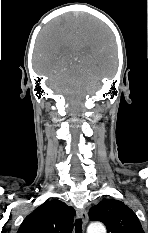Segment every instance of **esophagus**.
Masks as SVG:
<instances>
[{"mask_svg":"<svg viewBox=\"0 0 148 233\" xmlns=\"http://www.w3.org/2000/svg\"><path fill=\"white\" fill-rule=\"evenodd\" d=\"M78 215L83 220L84 224H86L87 220H88V216H87L86 210L84 208L79 209L78 210Z\"/></svg>","mask_w":148,"mask_h":233,"instance_id":"1","label":"esophagus"}]
</instances>
